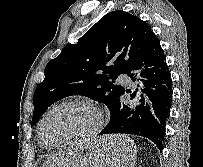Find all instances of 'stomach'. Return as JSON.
Segmentation results:
<instances>
[{
	"instance_id": "1",
	"label": "stomach",
	"mask_w": 203,
	"mask_h": 167,
	"mask_svg": "<svg viewBox=\"0 0 203 167\" xmlns=\"http://www.w3.org/2000/svg\"><path fill=\"white\" fill-rule=\"evenodd\" d=\"M110 143L99 145V140L96 146L82 156L71 167H113V152Z\"/></svg>"
}]
</instances>
